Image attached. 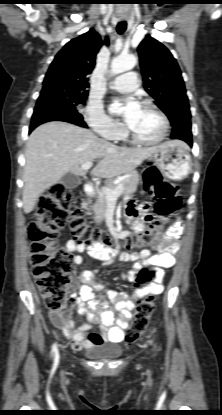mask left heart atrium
I'll list each match as a JSON object with an SVG mask.
<instances>
[{
	"mask_svg": "<svg viewBox=\"0 0 222 415\" xmlns=\"http://www.w3.org/2000/svg\"><path fill=\"white\" fill-rule=\"evenodd\" d=\"M139 109V104L133 98H126L121 101H116L111 106L112 113L121 114L125 122L132 120L138 113Z\"/></svg>",
	"mask_w": 222,
	"mask_h": 415,
	"instance_id": "left-heart-atrium-1",
	"label": "left heart atrium"
}]
</instances>
